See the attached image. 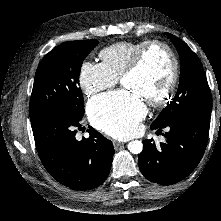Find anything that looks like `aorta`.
<instances>
[{"mask_svg": "<svg viewBox=\"0 0 221 221\" xmlns=\"http://www.w3.org/2000/svg\"><path fill=\"white\" fill-rule=\"evenodd\" d=\"M128 150L133 154H140L143 150V144L139 140H133L128 143Z\"/></svg>", "mask_w": 221, "mask_h": 221, "instance_id": "1", "label": "aorta"}]
</instances>
